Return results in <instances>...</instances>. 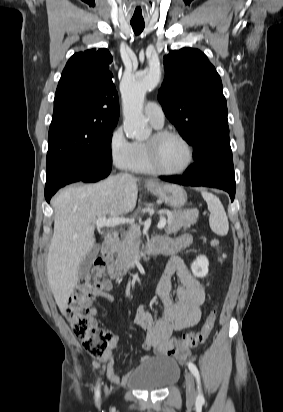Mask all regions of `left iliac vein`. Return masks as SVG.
<instances>
[{"label":"left iliac vein","mask_w":283,"mask_h":412,"mask_svg":"<svg viewBox=\"0 0 283 412\" xmlns=\"http://www.w3.org/2000/svg\"><path fill=\"white\" fill-rule=\"evenodd\" d=\"M186 397L189 402H194L196 399L195 381L190 372L185 373Z\"/></svg>","instance_id":"obj_1"}]
</instances>
